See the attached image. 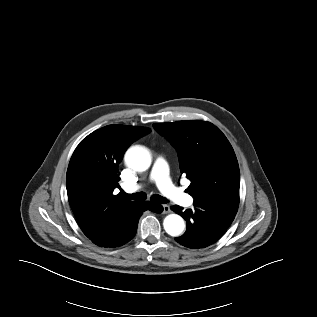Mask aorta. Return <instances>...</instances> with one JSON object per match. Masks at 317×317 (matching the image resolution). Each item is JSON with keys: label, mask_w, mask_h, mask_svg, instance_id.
<instances>
[{"label": "aorta", "mask_w": 317, "mask_h": 317, "mask_svg": "<svg viewBox=\"0 0 317 317\" xmlns=\"http://www.w3.org/2000/svg\"><path fill=\"white\" fill-rule=\"evenodd\" d=\"M126 165L134 171H146L151 165V154L142 146H134L125 154ZM165 231L171 236H179L185 229V223L178 214H169L163 221Z\"/></svg>", "instance_id": "762f6f07"}]
</instances>
